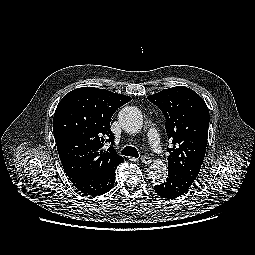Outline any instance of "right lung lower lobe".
<instances>
[{"label":"right lung lower lobe","mask_w":255,"mask_h":255,"mask_svg":"<svg viewBox=\"0 0 255 255\" xmlns=\"http://www.w3.org/2000/svg\"><path fill=\"white\" fill-rule=\"evenodd\" d=\"M115 170L108 175L88 180H71L73 185L84 195H102L112 189L115 182Z\"/></svg>","instance_id":"right-lung-lower-lobe-1"}]
</instances>
